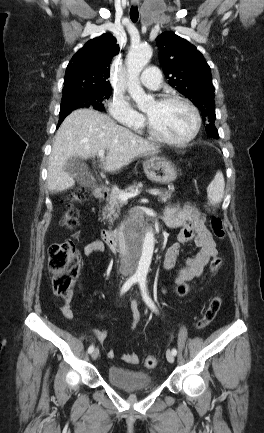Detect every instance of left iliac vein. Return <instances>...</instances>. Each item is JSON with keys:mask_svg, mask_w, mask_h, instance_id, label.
<instances>
[{"mask_svg": "<svg viewBox=\"0 0 264 433\" xmlns=\"http://www.w3.org/2000/svg\"><path fill=\"white\" fill-rule=\"evenodd\" d=\"M166 358L168 360V362L173 363L174 362V355L172 354V352L170 350H168L166 352Z\"/></svg>", "mask_w": 264, "mask_h": 433, "instance_id": "obj_1", "label": "left iliac vein"}]
</instances>
